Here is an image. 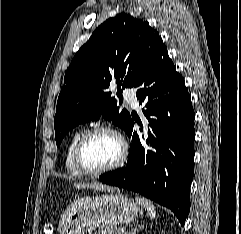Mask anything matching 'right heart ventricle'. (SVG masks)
Segmentation results:
<instances>
[{
  "label": "right heart ventricle",
  "mask_w": 241,
  "mask_h": 234,
  "mask_svg": "<svg viewBox=\"0 0 241 234\" xmlns=\"http://www.w3.org/2000/svg\"><path fill=\"white\" fill-rule=\"evenodd\" d=\"M84 130H79L77 132H75L69 143L67 146V150H66V155H65V167L66 170L68 171V173L74 177H81L83 174L77 169V167L75 166L74 163V150H75V146L78 142V140L80 139V137L82 136V134L84 133Z\"/></svg>",
  "instance_id": "obj_1"
}]
</instances>
